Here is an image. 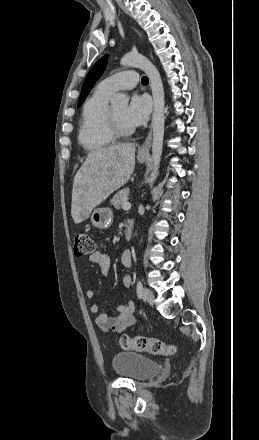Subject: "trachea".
Listing matches in <instances>:
<instances>
[{"label":"trachea","instance_id":"obj_1","mask_svg":"<svg viewBox=\"0 0 259 440\" xmlns=\"http://www.w3.org/2000/svg\"><path fill=\"white\" fill-rule=\"evenodd\" d=\"M141 81H142V84H144V85L149 83L148 77H146V76H143Z\"/></svg>","mask_w":259,"mask_h":440}]
</instances>
